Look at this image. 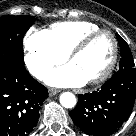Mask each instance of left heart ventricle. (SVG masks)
<instances>
[{
    "label": "left heart ventricle",
    "instance_id": "b2bd125f",
    "mask_svg": "<svg viewBox=\"0 0 136 136\" xmlns=\"http://www.w3.org/2000/svg\"><path fill=\"white\" fill-rule=\"evenodd\" d=\"M113 42L109 35L103 34L95 38L89 46L70 63L90 80L101 74L112 58Z\"/></svg>",
    "mask_w": 136,
    "mask_h": 136
}]
</instances>
